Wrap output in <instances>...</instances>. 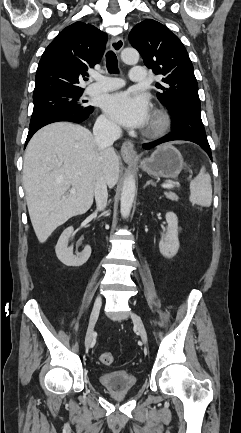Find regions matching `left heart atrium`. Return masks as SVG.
Here are the masks:
<instances>
[{
    "mask_svg": "<svg viewBox=\"0 0 241 433\" xmlns=\"http://www.w3.org/2000/svg\"><path fill=\"white\" fill-rule=\"evenodd\" d=\"M105 113L118 124L127 128H140L150 119V104L144 96L117 92L103 99Z\"/></svg>",
    "mask_w": 241,
    "mask_h": 433,
    "instance_id": "obj_1",
    "label": "left heart atrium"
}]
</instances>
